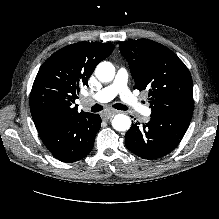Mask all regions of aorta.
<instances>
[{"label":"aorta","mask_w":219,"mask_h":219,"mask_svg":"<svg viewBox=\"0 0 219 219\" xmlns=\"http://www.w3.org/2000/svg\"><path fill=\"white\" fill-rule=\"evenodd\" d=\"M115 67L111 62L103 61L98 64L95 74L96 77L102 82H109L115 76ZM130 118L125 114H116L112 119V127L116 131H127L130 128Z\"/></svg>","instance_id":"1"}]
</instances>
